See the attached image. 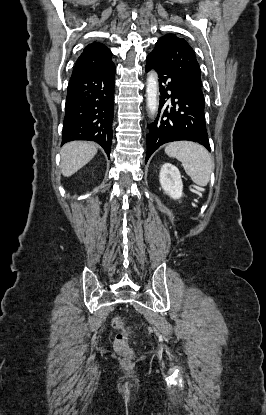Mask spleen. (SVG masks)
Returning a JSON list of instances; mask_svg holds the SVG:
<instances>
[{
    "instance_id": "spleen-1",
    "label": "spleen",
    "mask_w": 266,
    "mask_h": 415,
    "mask_svg": "<svg viewBox=\"0 0 266 415\" xmlns=\"http://www.w3.org/2000/svg\"><path fill=\"white\" fill-rule=\"evenodd\" d=\"M165 153L182 163L186 174L196 185L203 187L208 184L213 162L203 146L190 141L174 142L166 146Z\"/></svg>"
}]
</instances>
